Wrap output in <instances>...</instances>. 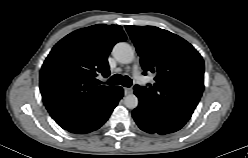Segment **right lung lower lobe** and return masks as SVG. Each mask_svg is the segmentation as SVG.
<instances>
[{
    "mask_svg": "<svg viewBox=\"0 0 248 158\" xmlns=\"http://www.w3.org/2000/svg\"><path fill=\"white\" fill-rule=\"evenodd\" d=\"M122 96L123 89L117 86L89 110L55 121L60 127L69 132L77 134L89 133L97 130L106 122Z\"/></svg>",
    "mask_w": 248,
    "mask_h": 158,
    "instance_id": "right-lung-lower-lobe-1",
    "label": "right lung lower lobe"
}]
</instances>
